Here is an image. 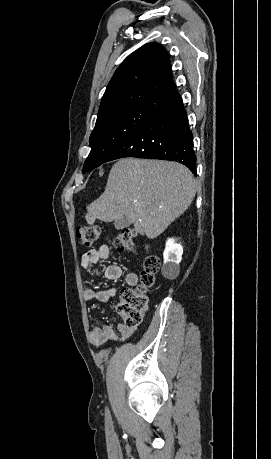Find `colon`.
Listing matches in <instances>:
<instances>
[{
    "instance_id": "colon-1",
    "label": "colon",
    "mask_w": 271,
    "mask_h": 459,
    "mask_svg": "<svg viewBox=\"0 0 271 459\" xmlns=\"http://www.w3.org/2000/svg\"><path fill=\"white\" fill-rule=\"evenodd\" d=\"M151 4L161 0H147ZM101 229L98 226L80 225L76 228V236L84 247H90L100 237ZM137 233L133 228L120 231L114 244L120 252H133ZM160 268V259L154 254H148L140 273V283L135 287H125L120 293V303L117 307L124 323L129 327H136L142 322L149 307L148 289L153 285L155 275Z\"/></svg>"
}]
</instances>
